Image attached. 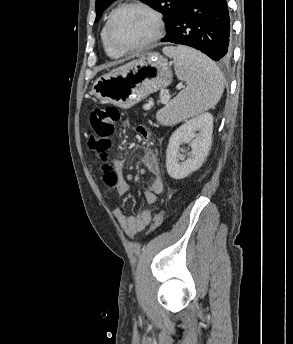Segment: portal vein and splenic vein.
Here are the masks:
<instances>
[{
	"mask_svg": "<svg viewBox=\"0 0 293 344\" xmlns=\"http://www.w3.org/2000/svg\"><path fill=\"white\" fill-rule=\"evenodd\" d=\"M169 99H170V95H163L161 97V103L165 104V103H167L169 101Z\"/></svg>",
	"mask_w": 293,
	"mask_h": 344,
	"instance_id": "18ae733b",
	"label": "portal vein and splenic vein"
}]
</instances>
